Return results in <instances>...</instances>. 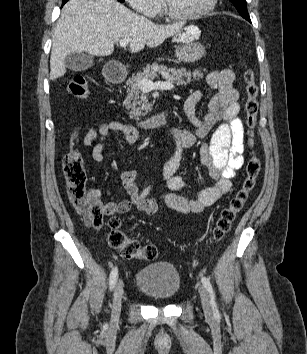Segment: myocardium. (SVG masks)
Segmentation results:
<instances>
[{
  "mask_svg": "<svg viewBox=\"0 0 307 354\" xmlns=\"http://www.w3.org/2000/svg\"><path fill=\"white\" fill-rule=\"evenodd\" d=\"M217 2H218V0H209L207 5L202 10L195 12V13H188V14L177 13L176 11H174L170 7L167 0H162V5H163V9H164L165 14L169 18H171L173 20L187 21V20L200 19V18L208 15L209 13H211L215 9Z\"/></svg>",
  "mask_w": 307,
  "mask_h": 354,
  "instance_id": "obj_1",
  "label": "myocardium"
}]
</instances>
